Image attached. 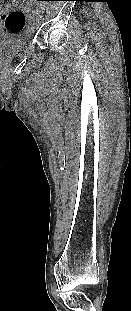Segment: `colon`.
Masks as SVG:
<instances>
[{"instance_id":"5ec220e1","label":"colon","mask_w":131,"mask_h":311,"mask_svg":"<svg viewBox=\"0 0 131 311\" xmlns=\"http://www.w3.org/2000/svg\"><path fill=\"white\" fill-rule=\"evenodd\" d=\"M25 24L26 18L21 11H14L5 18V29L11 33L21 32Z\"/></svg>"}]
</instances>
